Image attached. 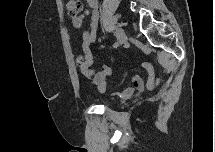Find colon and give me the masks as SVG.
Returning <instances> with one entry per match:
<instances>
[{
    "label": "colon",
    "mask_w": 215,
    "mask_h": 152,
    "mask_svg": "<svg viewBox=\"0 0 215 152\" xmlns=\"http://www.w3.org/2000/svg\"><path fill=\"white\" fill-rule=\"evenodd\" d=\"M65 4H66V9L68 13L72 16H76L81 10V2L78 0H67ZM84 59L85 61H83L82 59L80 60L81 67L85 66L86 64L87 58L85 55H84Z\"/></svg>",
    "instance_id": "obj_1"
}]
</instances>
